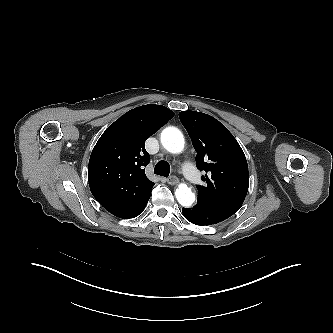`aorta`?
<instances>
[{
  "instance_id": "762f6f07",
  "label": "aorta",
  "mask_w": 333,
  "mask_h": 333,
  "mask_svg": "<svg viewBox=\"0 0 333 333\" xmlns=\"http://www.w3.org/2000/svg\"><path fill=\"white\" fill-rule=\"evenodd\" d=\"M160 141L162 146L170 153L178 154L184 149V136L176 127L165 128L161 133ZM175 196L183 207H190L195 201V194L185 183L179 184L175 191Z\"/></svg>"
}]
</instances>
